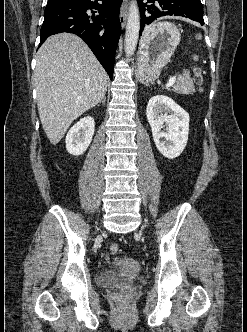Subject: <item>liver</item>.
I'll return each instance as SVG.
<instances>
[{
	"instance_id": "obj_1",
	"label": "liver",
	"mask_w": 247,
	"mask_h": 332,
	"mask_svg": "<svg viewBox=\"0 0 247 332\" xmlns=\"http://www.w3.org/2000/svg\"><path fill=\"white\" fill-rule=\"evenodd\" d=\"M34 83L41 124L55 145L75 119L102 101L108 75L82 39L60 33L39 48Z\"/></svg>"
}]
</instances>
